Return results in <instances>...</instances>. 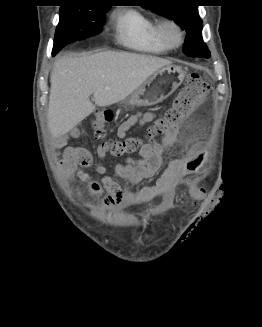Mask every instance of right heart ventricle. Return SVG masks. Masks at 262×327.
<instances>
[{"label": "right heart ventricle", "instance_id": "right-heart-ventricle-1", "mask_svg": "<svg viewBox=\"0 0 262 327\" xmlns=\"http://www.w3.org/2000/svg\"><path fill=\"white\" fill-rule=\"evenodd\" d=\"M114 27L116 40L128 49L150 54H163L171 49L160 35L159 22L140 11H120Z\"/></svg>", "mask_w": 262, "mask_h": 327}]
</instances>
